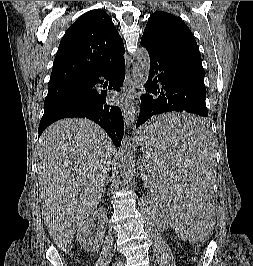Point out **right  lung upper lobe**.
Here are the masks:
<instances>
[{
  "label": "right lung upper lobe",
  "instance_id": "1",
  "mask_svg": "<svg viewBox=\"0 0 253 266\" xmlns=\"http://www.w3.org/2000/svg\"><path fill=\"white\" fill-rule=\"evenodd\" d=\"M122 38L109 15L91 10L77 19L63 36L49 86L81 82L124 59Z\"/></svg>",
  "mask_w": 253,
  "mask_h": 266
}]
</instances>
